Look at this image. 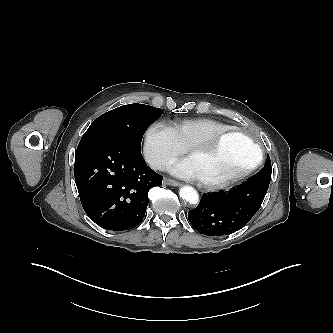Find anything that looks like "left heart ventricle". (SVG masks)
<instances>
[{
	"mask_svg": "<svg viewBox=\"0 0 333 333\" xmlns=\"http://www.w3.org/2000/svg\"><path fill=\"white\" fill-rule=\"evenodd\" d=\"M256 157L252 142L241 134L225 137L213 150L196 152L189 158L198 178L209 181L226 179L249 166Z\"/></svg>",
	"mask_w": 333,
	"mask_h": 333,
	"instance_id": "1",
	"label": "left heart ventricle"
}]
</instances>
